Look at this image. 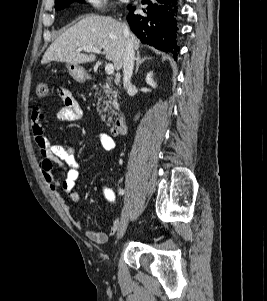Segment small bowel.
I'll return each instance as SVG.
<instances>
[{"mask_svg":"<svg viewBox=\"0 0 267 301\" xmlns=\"http://www.w3.org/2000/svg\"><path fill=\"white\" fill-rule=\"evenodd\" d=\"M58 96L62 101V107L57 111V118L61 121H76L81 119L83 115L82 108L71 93L66 88H59ZM46 112L43 106H36L31 112V128L34 140L39 149V169L40 172L53 194L59 199L66 213H70L69 204L62 198L60 190L66 194L67 198L72 202H77L80 198L76 187L79 178L78 163L75 158V148L70 143L56 144L52 143L44 133L43 121ZM103 149L110 151L115 147L113 137L106 133H100L96 136ZM58 165L64 171L61 179H56L53 175V166ZM73 224L77 228H82L79 220L73 219ZM119 227L116 218L108 232L94 231L87 229L86 237L98 244L106 243L110 236L114 235Z\"/></svg>","mask_w":267,"mask_h":301,"instance_id":"obj_1","label":"small bowel"}]
</instances>
